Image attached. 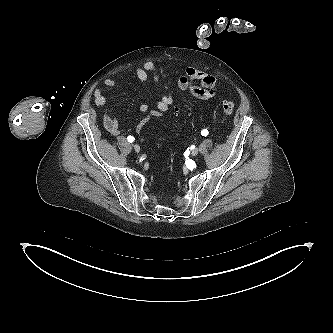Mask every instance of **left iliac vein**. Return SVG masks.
<instances>
[{
	"instance_id": "left-iliac-vein-1",
	"label": "left iliac vein",
	"mask_w": 333,
	"mask_h": 333,
	"mask_svg": "<svg viewBox=\"0 0 333 333\" xmlns=\"http://www.w3.org/2000/svg\"><path fill=\"white\" fill-rule=\"evenodd\" d=\"M198 152H199V150H198V148H194L193 150H192V156H196L197 154H198Z\"/></svg>"
}]
</instances>
